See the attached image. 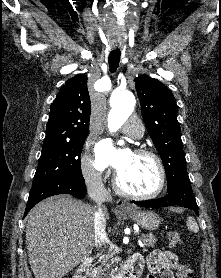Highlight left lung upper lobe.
<instances>
[{
  "label": "left lung upper lobe",
  "mask_w": 221,
  "mask_h": 278,
  "mask_svg": "<svg viewBox=\"0 0 221 278\" xmlns=\"http://www.w3.org/2000/svg\"><path fill=\"white\" fill-rule=\"evenodd\" d=\"M134 82L143 120L165 167L169 190L189 178L177 120L178 106L172 92L159 80L140 76Z\"/></svg>",
  "instance_id": "5c2ea615"
}]
</instances>
